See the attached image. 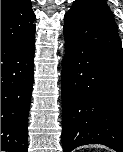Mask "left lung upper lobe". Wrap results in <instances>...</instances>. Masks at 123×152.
<instances>
[{"label": "left lung upper lobe", "mask_w": 123, "mask_h": 152, "mask_svg": "<svg viewBox=\"0 0 123 152\" xmlns=\"http://www.w3.org/2000/svg\"><path fill=\"white\" fill-rule=\"evenodd\" d=\"M78 5H87L89 8L97 10L99 13L107 16L114 22L112 12L104 0H75L73 2L72 8Z\"/></svg>", "instance_id": "5c2ea615"}]
</instances>
